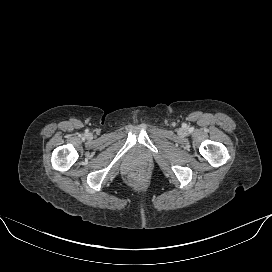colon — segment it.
<instances>
[{"label":"colon","instance_id":"colon-1","mask_svg":"<svg viewBox=\"0 0 272 272\" xmlns=\"http://www.w3.org/2000/svg\"><path fill=\"white\" fill-rule=\"evenodd\" d=\"M131 182L134 183V184H139L141 183L142 181H144L145 179V172L142 171V170H138L136 172H134L132 175H131Z\"/></svg>","mask_w":272,"mask_h":272}]
</instances>
